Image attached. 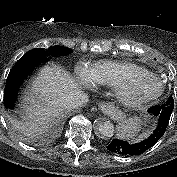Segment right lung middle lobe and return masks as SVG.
I'll list each match as a JSON object with an SVG mask.
<instances>
[{
	"mask_svg": "<svg viewBox=\"0 0 177 177\" xmlns=\"http://www.w3.org/2000/svg\"><path fill=\"white\" fill-rule=\"evenodd\" d=\"M73 52L72 49L63 47V46H55V47H50L49 49H44V48H34L31 51L27 52L26 54H32V55H55V54H60V55H69Z\"/></svg>",
	"mask_w": 177,
	"mask_h": 177,
	"instance_id": "dd1d6c3e",
	"label": "right lung middle lobe"
}]
</instances>
